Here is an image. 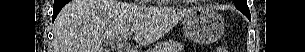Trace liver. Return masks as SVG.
<instances>
[{"label":"liver","instance_id":"6515ba94","mask_svg":"<svg viewBox=\"0 0 305 52\" xmlns=\"http://www.w3.org/2000/svg\"><path fill=\"white\" fill-rule=\"evenodd\" d=\"M191 10L144 7L116 0H72L55 20L53 52H104V41L133 32L137 43L149 45Z\"/></svg>","mask_w":305,"mask_h":52}]
</instances>
